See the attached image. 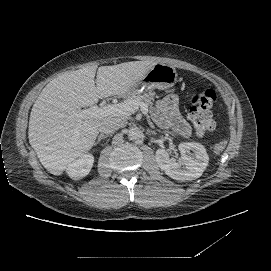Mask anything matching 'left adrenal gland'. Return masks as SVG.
<instances>
[{"label":"left adrenal gland","mask_w":271,"mask_h":271,"mask_svg":"<svg viewBox=\"0 0 271 271\" xmlns=\"http://www.w3.org/2000/svg\"><path fill=\"white\" fill-rule=\"evenodd\" d=\"M157 132H158V133H162V131H161V130H157Z\"/></svg>","instance_id":"a2214340"}]
</instances>
